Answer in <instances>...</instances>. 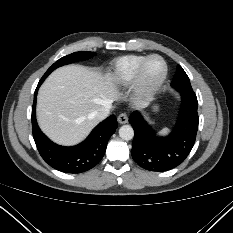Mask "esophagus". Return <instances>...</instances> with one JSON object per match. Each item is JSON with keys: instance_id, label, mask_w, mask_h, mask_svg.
I'll return each mask as SVG.
<instances>
[{"instance_id": "34e87169", "label": "esophagus", "mask_w": 233, "mask_h": 233, "mask_svg": "<svg viewBox=\"0 0 233 233\" xmlns=\"http://www.w3.org/2000/svg\"><path fill=\"white\" fill-rule=\"evenodd\" d=\"M117 120L120 124H126L128 122V116L126 113H121L118 116Z\"/></svg>"}]
</instances>
